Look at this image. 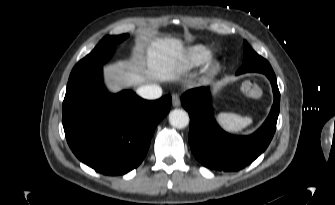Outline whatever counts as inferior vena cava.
<instances>
[{
    "label": "inferior vena cava",
    "instance_id": "obj_1",
    "mask_svg": "<svg viewBox=\"0 0 335 205\" xmlns=\"http://www.w3.org/2000/svg\"><path fill=\"white\" fill-rule=\"evenodd\" d=\"M138 95L145 99H158L162 95V88L158 85H145V86H140L137 89Z\"/></svg>",
    "mask_w": 335,
    "mask_h": 205
}]
</instances>
